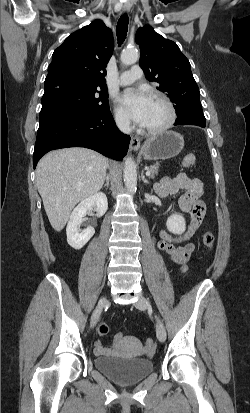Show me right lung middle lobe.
<instances>
[{
	"label": "right lung middle lobe",
	"instance_id": "1",
	"mask_svg": "<svg viewBox=\"0 0 250 413\" xmlns=\"http://www.w3.org/2000/svg\"><path fill=\"white\" fill-rule=\"evenodd\" d=\"M57 110L82 112L109 111L108 92L95 87L65 85L55 88L42 97L40 119Z\"/></svg>",
	"mask_w": 250,
	"mask_h": 413
}]
</instances>
